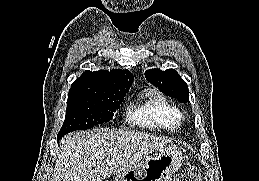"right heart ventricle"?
Instances as JSON below:
<instances>
[{
    "label": "right heart ventricle",
    "mask_w": 259,
    "mask_h": 181,
    "mask_svg": "<svg viewBox=\"0 0 259 181\" xmlns=\"http://www.w3.org/2000/svg\"><path fill=\"white\" fill-rule=\"evenodd\" d=\"M127 121L144 128L176 132L183 122L182 112L162 93L147 89L127 110Z\"/></svg>",
    "instance_id": "obj_1"
}]
</instances>
